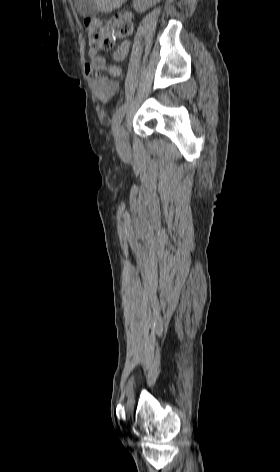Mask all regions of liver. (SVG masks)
I'll return each mask as SVG.
<instances>
[{
    "label": "liver",
    "mask_w": 280,
    "mask_h": 472,
    "mask_svg": "<svg viewBox=\"0 0 280 472\" xmlns=\"http://www.w3.org/2000/svg\"><path fill=\"white\" fill-rule=\"evenodd\" d=\"M126 0H95L97 10L102 13H110L119 8Z\"/></svg>",
    "instance_id": "obj_1"
}]
</instances>
